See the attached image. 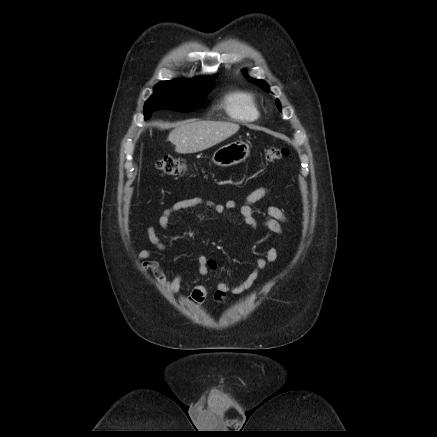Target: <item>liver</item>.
<instances>
[{"instance_id": "liver-1", "label": "liver", "mask_w": 437, "mask_h": 437, "mask_svg": "<svg viewBox=\"0 0 437 437\" xmlns=\"http://www.w3.org/2000/svg\"><path fill=\"white\" fill-rule=\"evenodd\" d=\"M239 129V124L232 122L187 120L177 123L168 140L177 153H196L224 141Z\"/></svg>"}]
</instances>
